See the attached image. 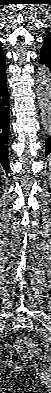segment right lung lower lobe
<instances>
[{
    "label": "right lung lower lobe",
    "instance_id": "right-lung-lower-lobe-1",
    "mask_svg": "<svg viewBox=\"0 0 51 393\" xmlns=\"http://www.w3.org/2000/svg\"><path fill=\"white\" fill-rule=\"evenodd\" d=\"M5 70L0 72V165L4 168L6 174H8V134L10 111Z\"/></svg>",
    "mask_w": 51,
    "mask_h": 393
}]
</instances>
